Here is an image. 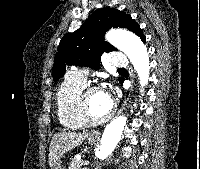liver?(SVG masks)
Segmentation results:
<instances>
[{
  "instance_id": "6515ba94",
  "label": "liver",
  "mask_w": 200,
  "mask_h": 169,
  "mask_svg": "<svg viewBox=\"0 0 200 169\" xmlns=\"http://www.w3.org/2000/svg\"><path fill=\"white\" fill-rule=\"evenodd\" d=\"M87 133L58 132L52 137L49 147V165H56L63 154L81 145L87 138Z\"/></svg>"
}]
</instances>
